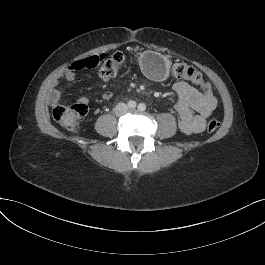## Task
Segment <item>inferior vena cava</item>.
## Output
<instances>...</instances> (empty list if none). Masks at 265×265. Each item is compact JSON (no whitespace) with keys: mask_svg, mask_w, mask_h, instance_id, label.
<instances>
[{"mask_svg":"<svg viewBox=\"0 0 265 265\" xmlns=\"http://www.w3.org/2000/svg\"><path fill=\"white\" fill-rule=\"evenodd\" d=\"M128 110H129V107L127 106V104L120 102L116 105L115 114L117 116H121V115H124L125 113H127Z\"/></svg>","mask_w":265,"mask_h":265,"instance_id":"602c4592","label":"inferior vena cava"}]
</instances>
